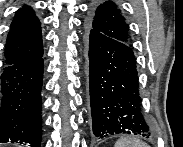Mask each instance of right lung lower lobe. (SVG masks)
I'll list each match as a JSON object with an SVG mask.
<instances>
[{
  "label": "right lung lower lobe",
  "instance_id": "98d812e1",
  "mask_svg": "<svg viewBox=\"0 0 183 147\" xmlns=\"http://www.w3.org/2000/svg\"><path fill=\"white\" fill-rule=\"evenodd\" d=\"M43 50L26 61L5 65L1 74L0 143H41Z\"/></svg>",
  "mask_w": 183,
  "mask_h": 147
}]
</instances>
